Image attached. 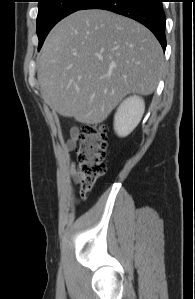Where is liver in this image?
I'll list each match as a JSON object with an SVG mask.
<instances>
[{
  "label": "liver",
  "instance_id": "1",
  "mask_svg": "<svg viewBox=\"0 0 195 299\" xmlns=\"http://www.w3.org/2000/svg\"><path fill=\"white\" fill-rule=\"evenodd\" d=\"M164 67L162 48L146 27L106 10H81L47 36L37 78L60 115L102 123L128 94H151Z\"/></svg>",
  "mask_w": 195,
  "mask_h": 299
}]
</instances>
